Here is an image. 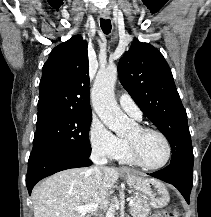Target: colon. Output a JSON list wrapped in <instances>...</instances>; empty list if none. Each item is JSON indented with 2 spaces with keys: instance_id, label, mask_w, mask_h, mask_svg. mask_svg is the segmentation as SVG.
<instances>
[{
  "instance_id": "colon-1",
  "label": "colon",
  "mask_w": 211,
  "mask_h": 217,
  "mask_svg": "<svg viewBox=\"0 0 211 217\" xmlns=\"http://www.w3.org/2000/svg\"><path fill=\"white\" fill-rule=\"evenodd\" d=\"M155 217H179V214L176 211H160L157 214H155Z\"/></svg>"
}]
</instances>
